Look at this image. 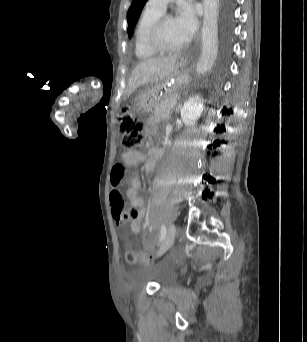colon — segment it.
<instances>
[{"instance_id": "colon-1", "label": "colon", "mask_w": 307, "mask_h": 342, "mask_svg": "<svg viewBox=\"0 0 307 342\" xmlns=\"http://www.w3.org/2000/svg\"><path fill=\"white\" fill-rule=\"evenodd\" d=\"M118 131L121 135V144L124 149L134 150L141 147L144 140V126L141 121L135 118L127 108L122 109L118 115ZM126 180L125 164L117 162L112 166L110 174V202L112 206V215L114 220L120 224L125 225L134 220L136 210L126 204L122 194L118 191V187ZM141 251L137 254L129 251L126 255L128 263L134 264L139 261V264L146 266L148 261L154 262V256L149 254L147 257L142 256Z\"/></svg>"}]
</instances>
